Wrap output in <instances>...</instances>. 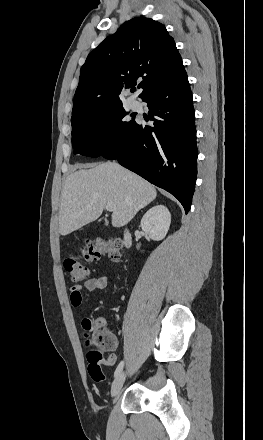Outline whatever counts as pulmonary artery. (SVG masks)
I'll use <instances>...</instances> for the list:
<instances>
[{"mask_svg": "<svg viewBox=\"0 0 263 440\" xmlns=\"http://www.w3.org/2000/svg\"><path fill=\"white\" fill-rule=\"evenodd\" d=\"M130 106L133 110H138L140 109V103L137 100H131L130 101Z\"/></svg>", "mask_w": 263, "mask_h": 440, "instance_id": "e3ab8cb5", "label": "pulmonary artery"}]
</instances>
